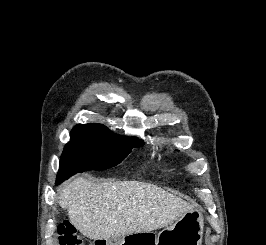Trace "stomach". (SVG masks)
<instances>
[{"mask_svg": "<svg viewBox=\"0 0 266 245\" xmlns=\"http://www.w3.org/2000/svg\"><path fill=\"white\" fill-rule=\"evenodd\" d=\"M204 219L200 211H189L179 221L160 231L158 235L148 233H128L121 237L118 245L133 242V245H202ZM115 241V239H113ZM106 241L105 245H115Z\"/></svg>", "mask_w": 266, "mask_h": 245, "instance_id": "stomach-1", "label": "stomach"}]
</instances>
